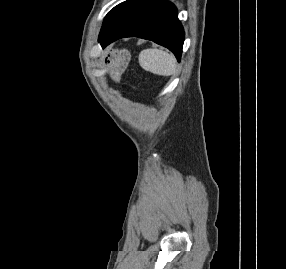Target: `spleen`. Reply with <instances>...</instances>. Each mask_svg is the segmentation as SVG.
Listing matches in <instances>:
<instances>
[{
    "label": "spleen",
    "instance_id": "3e777b00",
    "mask_svg": "<svg viewBox=\"0 0 286 269\" xmlns=\"http://www.w3.org/2000/svg\"><path fill=\"white\" fill-rule=\"evenodd\" d=\"M140 66L153 74L169 76L177 64L173 55L159 49H145L139 54Z\"/></svg>",
    "mask_w": 286,
    "mask_h": 269
}]
</instances>
